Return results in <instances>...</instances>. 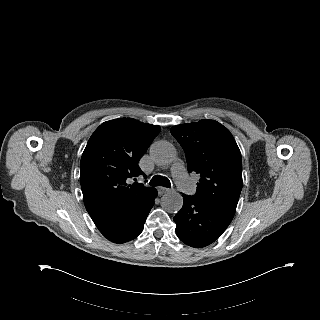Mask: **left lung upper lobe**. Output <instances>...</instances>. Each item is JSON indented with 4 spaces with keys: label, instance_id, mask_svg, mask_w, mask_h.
<instances>
[{
    "label": "left lung upper lobe",
    "instance_id": "obj_1",
    "mask_svg": "<svg viewBox=\"0 0 320 320\" xmlns=\"http://www.w3.org/2000/svg\"><path fill=\"white\" fill-rule=\"evenodd\" d=\"M170 131L184 149L188 171L200 175L195 197L234 216L243 182L241 153L231 133L214 120Z\"/></svg>",
    "mask_w": 320,
    "mask_h": 320
}]
</instances>
